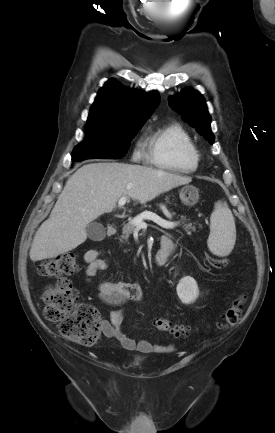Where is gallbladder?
<instances>
[{
    "label": "gallbladder",
    "mask_w": 275,
    "mask_h": 433,
    "mask_svg": "<svg viewBox=\"0 0 275 433\" xmlns=\"http://www.w3.org/2000/svg\"><path fill=\"white\" fill-rule=\"evenodd\" d=\"M86 232L88 237L93 241H100L104 239L106 232L105 228L101 223L92 222L87 225Z\"/></svg>",
    "instance_id": "bac80fb5"
}]
</instances>
